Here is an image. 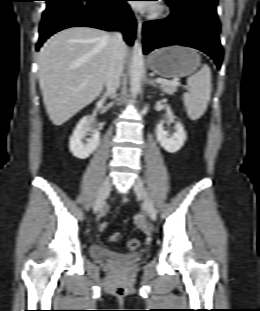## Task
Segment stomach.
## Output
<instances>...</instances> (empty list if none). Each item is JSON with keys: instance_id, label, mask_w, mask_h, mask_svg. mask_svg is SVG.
Listing matches in <instances>:
<instances>
[{"instance_id": "obj_1", "label": "stomach", "mask_w": 260, "mask_h": 311, "mask_svg": "<svg viewBox=\"0 0 260 311\" xmlns=\"http://www.w3.org/2000/svg\"><path fill=\"white\" fill-rule=\"evenodd\" d=\"M201 57L194 49L184 46L161 48L148 58V65L164 78H179L192 74L200 65Z\"/></svg>"}]
</instances>
